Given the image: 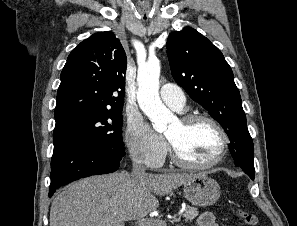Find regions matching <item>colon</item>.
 <instances>
[{
	"mask_svg": "<svg viewBox=\"0 0 297 226\" xmlns=\"http://www.w3.org/2000/svg\"><path fill=\"white\" fill-rule=\"evenodd\" d=\"M240 217L248 226H256V224L258 223V219L255 214L240 212Z\"/></svg>",
	"mask_w": 297,
	"mask_h": 226,
	"instance_id": "colon-1",
	"label": "colon"
}]
</instances>
